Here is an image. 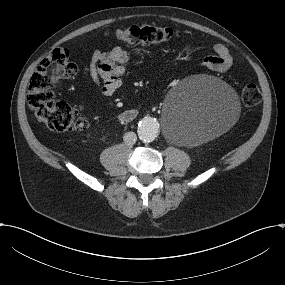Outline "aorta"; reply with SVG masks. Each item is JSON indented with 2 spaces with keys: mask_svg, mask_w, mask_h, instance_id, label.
Instances as JSON below:
<instances>
[{
  "mask_svg": "<svg viewBox=\"0 0 285 285\" xmlns=\"http://www.w3.org/2000/svg\"><path fill=\"white\" fill-rule=\"evenodd\" d=\"M159 132V123L150 117H145L139 122L138 126V136L143 142L153 141Z\"/></svg>",
  "mask_w": 285,
  "mask_h": 285,
  "instance_id": "1",
  "label": "aorta"
}]
</instances>
